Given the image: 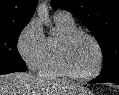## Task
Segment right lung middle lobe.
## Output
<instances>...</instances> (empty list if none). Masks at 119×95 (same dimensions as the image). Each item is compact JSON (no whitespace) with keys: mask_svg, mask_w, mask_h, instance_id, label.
I'll return each instance as SVG.
<instances>
[{"mask_svg":"<svg viewBox=\"0 0 119 95\" xmlns=\"http://www.w3.org/2000/svg\"><path fill=\"white\" fill-rule=\"evenodd\" d=\"M26 25L18 23L0 27V66L26 71V65L17 50L18 37Z\"/></svg>","mask_w":119,"mask_h":95,"instance_id":"right-lung-middle-lobe-1","label":"right lung middle lobe"}]
</instances>
